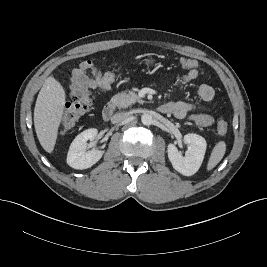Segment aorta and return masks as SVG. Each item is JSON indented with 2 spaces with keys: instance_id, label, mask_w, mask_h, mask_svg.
<instances>
[{
  "instance_id": "obj_1",
  "label": "aorta",
  "mask_w": 267,
  "mask_h": 267,
  "mask_svg": "<svg viewBox=\"0 0 267 267\" xmlns=\"http://www.w3.org/2000/svg\"><path fill=\"white\" fill-rule=\"evenodd\" d=\"M141 122L143 125L149 126L153 123V117L150 114L145 113L141 116Z\"/></svg>"
}]
</instances>
